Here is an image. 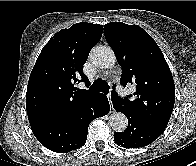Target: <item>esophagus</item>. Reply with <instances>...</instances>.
I'll list each match as a JSON object with an SVG mask.
<instances>
[{
	"instance_id": "34e87169",
	"label": "esophagus",
	"mask_w": 196,
	"mask_h": 166,
	"mask_svg": "<svg viewBox=\"0 0 196 166\" xmlns=\"http://www.w3.org/2000/svg\"><path fill=\"white\" fill-rule=\"evenodd\" d=\"M107 97H108V100H109L111 109H113V104H112V101H111V93H109V94L107 95Z\"/></svg>"
}]
</instances>
